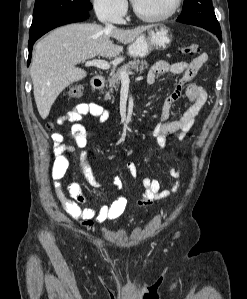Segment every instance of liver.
Here are the masks:
<instances>
[{
    "label": "liver",
    "mask_w": 247,
    "mask_h": 299,
    "mask_svg": "<svg viewBox=\"0 0 247 299\" xmlns=\"http://www.w3.org/2000/svg\"><path fill=\"white\" fill-rule=\"evenodd\" d=\"M152 25L134 29L107 30L95 23H72L52 30L36 46L30 68L34 98L42 119H46L59 94L84 79L86 71L76 67L96 56L115 58Z\"/></svg>",
    "instance_id": "1"
}]
</instances>
